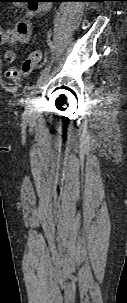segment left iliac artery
<instances>
[{"mask_svg": "<svg viewBox=\"0 0 127 303\" xmlns=\"http://www.w3.org/2000/svg\"><path fill=\"white\" fill-rule=\"evenodd\" d=\"M48 44H49V46L51 47V51H52V55H53V54H54V45H53V43H52V41H51L50 39H48ZM52 58H53V56H52ZM51 62H52V61H51ZM50 67H51V63H49V64L41 71L40 77L37 79V81H36L33 85H31V86L29 87V90H30L31 94H34V93L37 92L38 88H39L40 85H41V82H42L43 78L45 77V75H46L47 73H49Z\"/></svg>", "mask_w": 127, "mask_h": 303, "instance_id": "obj_1", "label": "left iliac artery"}]
</instances>
